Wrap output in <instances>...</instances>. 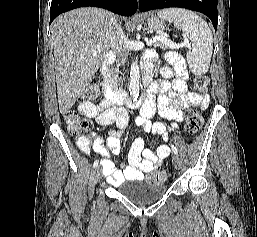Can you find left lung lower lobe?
I'll list each match as a JSON object with an SVG mask.
<instances>
[{"label": "left lung lower lobe", "mask_w": 257, "mask_h": 237, "mask_svg": "<svg viewBox=\"0 0 257 237\" xmlns=\"http://www.w3.org/2000/svg\"><path fill=\"white\" fill-rule=\"evenodd\" d=\"M139 7L142 12L169 7L198 11L208 16L213 23L215 31L217 30V0H140Z\"/></svg>", "instance_id": "0a47b994"}]
</instances>
